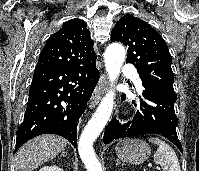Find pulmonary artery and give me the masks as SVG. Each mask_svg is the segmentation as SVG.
I'll return each mask as SVG.
<instances>
[{
  "label": "pulmonary artery",
  "mask_w": 199,
  "mask_h": 171,
  "mask_svg": "<svg viewBox=\"0 0 199 171\" xmlns=\"http://www.w3.org/2000/svg\"><path fill=\"white\" fill-rule=\"evenodd\" d=\"M124 73L130 76L136 83L140 84V79L131 65L127 64L124 66Z\"/></svg>",
  "instance_id": "pulmonary-artery-1"
}]
</instances>
